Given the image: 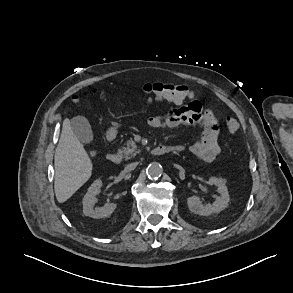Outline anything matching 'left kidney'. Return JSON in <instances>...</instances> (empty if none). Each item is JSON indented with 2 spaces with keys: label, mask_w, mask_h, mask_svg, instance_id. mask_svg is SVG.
Instances as JSON below:
<instances>
[{
  "label": "left kidney",
  "mask_w": 293,
  "mask_h": 293,
  "mask_svg": "<svg viewBox=\"0 0 293 293\" xmlns=\"http://www.w3.org/2000/svg\"><path fill=\"white\" fill-rule=\"evenodd\" d=\"M208 183L217 187L220 196L215 197L213 204H203L197 196L187 199V205L191 212L198 215L209 216L224 210L229 203L230 197L225 180L222 178L210 177Z\"/></svg>",
  "instance_id": "obj_1"
}]
</instances>
